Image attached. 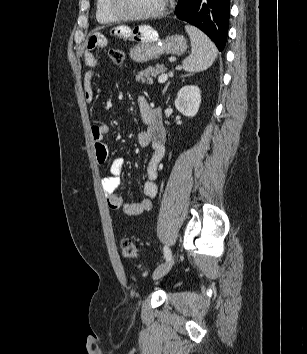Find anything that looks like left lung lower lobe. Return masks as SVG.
<instances>
[{"mask_svg": "<svg viewBox=\"0 0 307 354\" xmlns=\"http://www.w3.org/2000/svg\"><path fill=\"white\" fill-rule=\"evenodd\" d=\"M177 18L201 29L219 51L225 47L230 17V0H178Z\"/></svg>", "mask_w": 307, "mask_h": 354, "instance_id": "left-lung-lower-lobe-1", "label": "left lung lower lobe"}]
</instances>
